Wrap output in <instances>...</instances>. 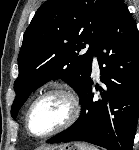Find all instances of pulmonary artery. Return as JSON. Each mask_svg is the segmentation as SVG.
Here are the masks:
<instances>
[{
	"label": "pulmonary artery",
	"instance_id": "1",
	"mask_svg": "<svg viewBox=\"0 0 139 150\" xmlns=\"http://www.w3.org/2000/svg\"><path fill=\"white\" fill-rule=\"evenodd\" d=\"M93 70L95 73H98L99 67H98V60L97 57L93 56Z\"/></svg>",
	"mask_w": 139,
	"mask_h": 150
}]
</instances>
